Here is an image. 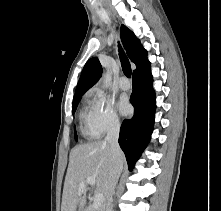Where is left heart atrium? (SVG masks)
Instances as JSON below:
<instances>
[{"instance_id": "1", "label": "left heart atrium", "mask_w": 221, "mask_h": 211, "mask_svg": "<svg viewBox=\"0 0 221 211\" xmlns=\"http://www.w3.org/2000/svg\"><path fill=\"white\" fill-rule=\"evenodd\" d=\"M117 107H118L119 112L122 115H127L131 111V106L128 102V99L124 96L119 98L118 103H117Z\"/></svg>"}]
</instances>
